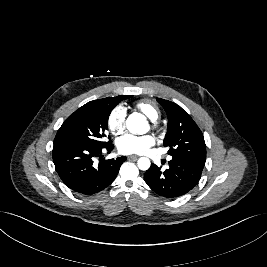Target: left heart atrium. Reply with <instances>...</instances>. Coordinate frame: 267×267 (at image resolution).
<instances>
[{
    "mask_svg": "<svg viewBox=\"0 0 267 267\" xmlns=\"http://www.w3.org/2000/svg\"><path fill=\"white\" fill-rule=\"evenodd\" d=\"M155 144L151 135L136 136L125 134L118 138L117 149L122 154H145Z\"/></svg>",
    "mask_w": 267,
    "mask_h": 267,
    "instance_id": "obj_1",
    "label": "left heart atrium"
}]
</instances>
